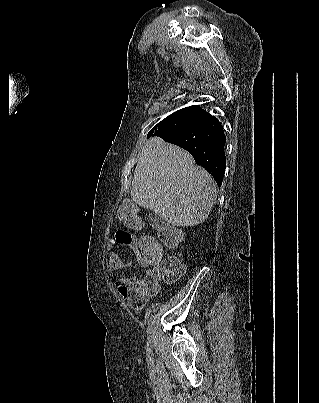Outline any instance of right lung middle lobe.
I'll list each match as a JSON object with an SVG mask.
<instances>
[{"mask_svg":"<svg viewBox=\"0 0 319 403\" xmlns=\"http://www.w3.org/2000/svg\"><path fill=\"white\" fill-rule=\"evenodd\" d=\"M208 116L209 113H207L205 110L197 105L183 108L169 115L164 120L159 122L156 126H154L153 129L149 131L148 137L165 128L186 126L192 122L206 118Z\"/></svg>","mask_w":319,"mask_h":403,"instance_id":"obj_1","label":"right lung middle lobe"}]
</instances>
